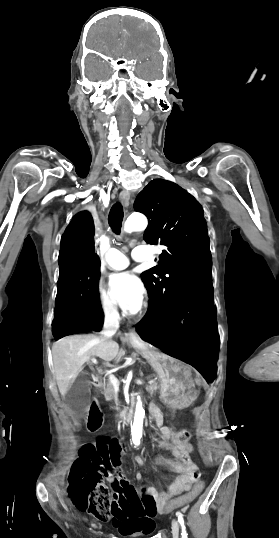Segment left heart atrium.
I'll use <instances>...</instances> for the list:
<instances>
[{"label":"left heart atrium","instance_id":"left-heart-atrium-1","mask_svg":"<svg viewBox=\"0 0 279 538\" xmlns=\"http://www.w3.org/2000/svg\"><path fill=\"white\" fill-rule=\"evenodd\" d=\"M109 286L113 296L125 310L134 312L142 305L145 288L132 271L111 275Z\"/></svg>","mask_w":279,"mask_h":538}]
</instances>
